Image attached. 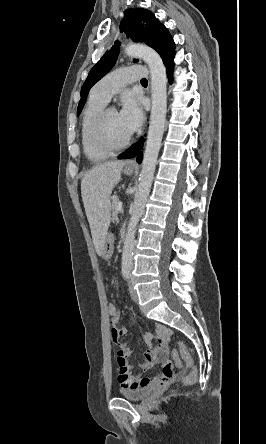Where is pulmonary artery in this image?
Masks as SVG:
<instances>
[{
	"instance_id": "1",
	"label": "pulmonary artery",
	"mask_w": 266,
	"mask_h": 444,
	"mask_svg": "<svg viewBox=\"0 0 266 444\" xmlns=\"http://www.w3.org/2000/svg\"><path fill=\"white\" fill-rule=\"evenodd\" d=\"M148 76L145 66H124L107 74L92 89L97 97L109 102L112 96L128 83Z\"/></svg>"
}]
</instances>
